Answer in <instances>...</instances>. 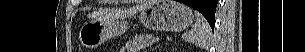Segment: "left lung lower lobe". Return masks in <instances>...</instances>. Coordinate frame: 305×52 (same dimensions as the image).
<instances>
[{"mask_svg":"<svg viewBox=\"0 0 305 52\" xmlns=\"http://www.w3.org/2000/svg\"><path fill=\"white\" fill-rule=\"evenodd\" d=\"M179 2L187 4L204 14V12L215 11L218 0H179ZM210 26L214 29V25Z\"/></svg>","mask_w":305,"mask_h":52,"instance_id":"1","label":"left lung lower lobe"}]
</instances>
